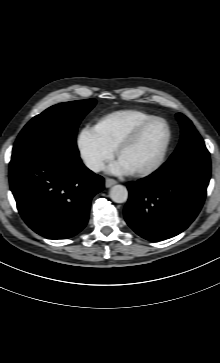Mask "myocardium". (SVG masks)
Masks as SVG:
<instances>
[{
    "label": "myocardium",
    "instance_id": "myocardium-1",
    "mask_svg": "<svg viewBox=\"0 0 220 363\" xmlns=\"http://www.w3.org/2000/svg\"><path fill=\"white\" fill-rule=\"evenodd\" d=\"M157 122H161L165 125L166 130H167V137H166V141L164 143V146L157 158V160L144 168L141 169H137L132 171V174L134 176H147L150 175L154 172H156L165 162V159L167 157V154L169 152L171 143H172V129L170 124L167 122V120H165L162 117H153L147 121H144L142 123H140L139 125H137L136 127H134L129 133H127L115 146V155L116 157L119 156V154L126 149L127 147H129L131 144H133L137 138L142 134V132L148 128L150 125L157 123Z\"/></svg>",
    "mask_w": 220,
    "mask_h": 363
}]
</instances>
